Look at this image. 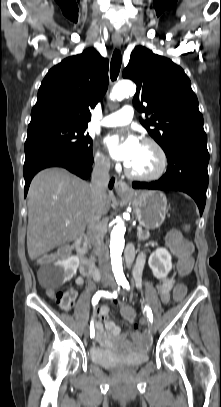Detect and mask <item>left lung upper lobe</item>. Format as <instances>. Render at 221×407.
<instances>
[{
    "label": "left lung upper lobe",
    "mask_w": 221,
    "mask_h": 407,
    "mask_svg": "<svg viewBox=\"0 0 221 407\" xmlns=\"http://www.w3.org/2000/svg\"><path fill=\"white\" fill-rule=\"evenodd\" d=\"M123 77L137 84L133 105L150 116L140 120L141 124L165 153L180 137L206 136L191 82L183 69L170 59L145 47H136Z\"/></svg>",
    "instance_id": "1"
}]
</instances>
